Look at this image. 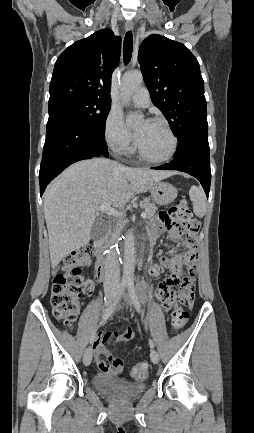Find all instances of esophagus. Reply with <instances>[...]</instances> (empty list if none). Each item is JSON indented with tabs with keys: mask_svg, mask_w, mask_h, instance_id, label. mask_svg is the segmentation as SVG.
I'll use <instances>...</instances> for the list:
<instances>
[{
	"mask_svg": "<svg viewBox=\"0 0 254 433\" xmlns=\"http://www.w3.org/2000/svg\"><path fill=\"white\" fill-rule=\"evenodd\" d=\"M125 28H126V30H133V28H134V24H133V22L132 21H127L126 23H125Z\"/></svg>",
	"mask_w": 254,
	"mask_h": 433,
	"instance_id": "1",
	"label": "esophagus"
}]
</instances>
